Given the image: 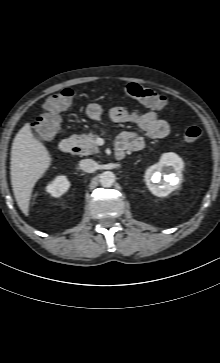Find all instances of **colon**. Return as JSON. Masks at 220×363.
I'll return each instance as SVG.
<instances>
[{"label":"colon","instance_id":"5ec220e1","mask_svg":"<svg viewBox=\"0 0 220 363\" xmlns=\"http://www.w3.org/2000/svg\"><path fill=\"white\" fill-rule=\"evenodd\" d=\"M122 90L125 95L138 99L152 108L166 109L168 107L165 96L137 83L125 84ZM73 98L74 91L71 88L57 91L48 98L41 116L32 124L36 137L48 140L58 133L61 124L60 114L71 105ZM202 136V130L196 126L187 127L183 132V138L187 142H197Z\"/></svg>","mask_w":220,"mask_h":363}]
</instances>
